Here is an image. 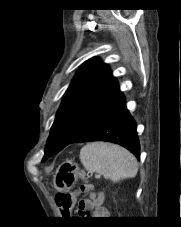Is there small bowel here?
I'll return each instance as SVG.
<instances>
[{
    "label": "small bowel",
    "mask_w": 181,
    "mask_h": 227,
    "mask_svg": "<svg viewBox=\"0 0 181 227\" xmlns=\"http://www.w3.org/2000/svg\"><path fill=\"white\" fill-rule=\"evenodd\" d=\"M104 195L102 193H93L87 200L81 201L79 204L78 213H90L96 218L108 216V211L103 207Z\"/></svg>",
    "instance_id": "c3829d8e"
}]
</instances>
